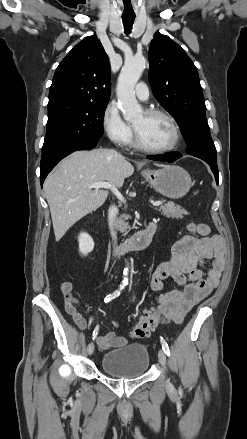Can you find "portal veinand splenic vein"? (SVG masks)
<instances>
[{"mask_svg":"<svg viewBox=\"0 0 247 439\" xmlns=\"http://www.w3.org/2000/svg\"><path fill=\"white\" fill-rule=\"evenodd\" d=\"M88 188L89 189H100V188L110 189L120 201L125 202L124 197L118 191V189L116 187H114L112 184L108 183V182L92 183V184H90L88 186ZM152 205L153 206H160V205H162V202L161 201H155V202H152Z\"/></svg>","mask_w":247,"mask_h":439,"instance_id":"portal-vein-and-splenic-vein-1","label":"portal vein and splenic vein"}]
</instances>
